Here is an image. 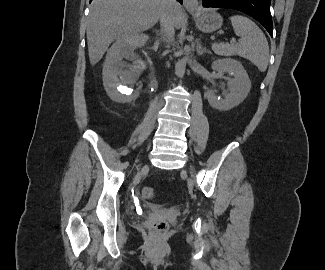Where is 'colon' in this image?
Returning a JSON list of instances; mask_svg holds the SVG:
<instances>
[{
	"instance_id": "1",
	"label": "colon",
	"mask_w": 325,
	"mask_h": 270,
	"mask_svg": "<svg viewBox=\"0 0 325 270\" xmlns=\"http://www.w3.org/2000/svg\"><path fill=\"white\" fill-rule=\"evenodd\" d=\"M142 195L146 200H151L155 196V190L151 187H145L142 191ZM167 229L168 224L165 221L156 222L152 227L153 232L157 234H163Z\"/></svg>"
}]
</instances>
